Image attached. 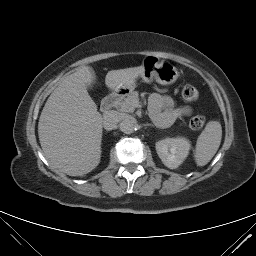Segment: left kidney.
I'll return each mask as SVG.
<instances>
[{
    "mask_svg": "<svg viewBox=\"0 0 256 256\" xmlns=\"http://www.w3.org/2000/svg\"><path fill=\"white\" fill-rule=\"evenodd\" d=\"M191 144L185 138H166L156 143V151L165 166L179 167L187 157Z\"/></svg>",
    "mask_w": 256,
    "mask_h": 256,
    "instance_id": "obj_1",
    "label": "left kidney"
}]
</instances>
